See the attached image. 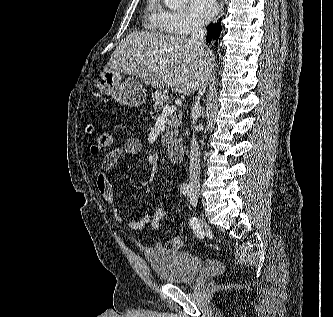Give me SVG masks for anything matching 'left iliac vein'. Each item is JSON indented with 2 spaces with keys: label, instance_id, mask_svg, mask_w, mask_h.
<instances>
[{
  "label": "left iliac vein",
  "instance_id": "left-iliac-vein-1",
  "mask_svg": "<svg viewBox=\"0 0 333 317\" xmlns=\"http://www.w3.org/2000/svg\"><path fill=\"white\" fill-rule=\"evenodd\" d=\"M189 202L193 207L197 205V199L194 197L193 192L189 195Z\"/></svg>",
  "mask_w": 333,
  "mask_h": 317
}]
</instances>
